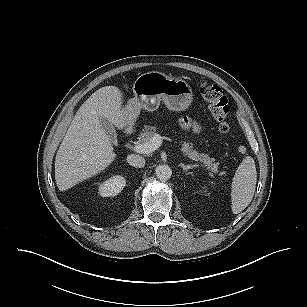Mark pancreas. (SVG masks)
Instances as JSON below:
<instances>
[{
  "label": "pancreas",
  "mask_w": 307,
  "mask_h": 307,
  "mask_svg": "<svg viewBox=\"0 0 307 307\" xmlns=\"http://www.w3.org/2000/svg\"><path fill=\"white\" fill-rule=\"evenodd\" d=\"M156 133V127L145 125L142 129V132L139 135L138 144H144L149 142L152 136ZM192 144L188 142L182 143L181 151L184 153V156L188 157L193 161H200L204 166L207 167V170L216 173L218 171V162H214L215 159L210 158L207 154H201L196 150H193ZM196 166H198L196 164Z\"/></svg>",
  "instance_id": "pancreas-1"
}]
</instances>
